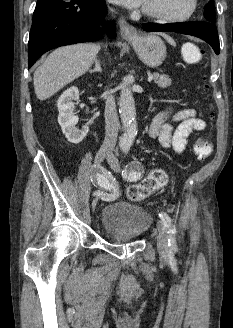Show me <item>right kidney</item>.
<instances>
[{"label": "right kidney", "mask_w": 233, "mask_h": 328, "mask_svg": "<svg viewBox=\"0 0 233 328\" xmlns=\"http://www.w3.org/2000/svg\"><path fill=\"white\" fill-rule=\"evenodd\" d=\"M76 99H79V90L77 87L72 86L65 90L57 101L59 111L58 123L68 141L74 144L80 143L89 131L88 126H84L81 130L76 128L78 118L73 113V100Z\"/></svg>", "instance_id": "ca27d5eb"}]
</instances>
